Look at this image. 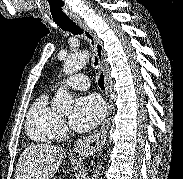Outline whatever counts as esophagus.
I'll list each match as a JSON object with an SVG mask.
<instances>
[{
  "label": "esophagus",
  "instance_id": "esophagus-1",
  "mask_svg": "<svg viewBox=\"0 0 183 179\" xmlns=\"http://www.w3.org/2000/svg\"><path fill=\"white\" fill-rule=\"evenodd\" d=\"M75 22L78 24V26H80L84 30L86 35L87 33H89L93 37L95 42V52L105 79V98L108 107L107 116L100 130L94 132L93 134L85 138L78 140L77 143L75 144L76 152L80 154H93L94 152L103 147L108 135L111 113H112L111 99H110L112 82L110 78L108 63L106 61V53L104 51L102 41L98 38L95 31L91 29L86 22L82 21L81 19H76Z\"/></svg>",
  "mask_w": 183,
  "mask_h": 179
}]
</instances>
